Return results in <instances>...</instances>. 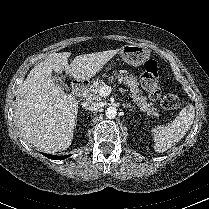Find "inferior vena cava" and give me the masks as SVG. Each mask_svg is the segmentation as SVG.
Segmentation results:
<instances>
[{"mask_svg":"<svg viewBox=\"0 0 209 209\" xmlns=\"http://www.w3.org/2000/svg\"><path fill=\"white\" fill-rule=\"evenodd\" d=\"M83 108H85L86 110H90V111H96L98 109H100V103L98 102H83L82 103Z\"/></svg>","mask_w":209,"mask_h":209,"instance_id":"inferior-vena-cava-1","label":"inferior vena cava"}]
</instances>
